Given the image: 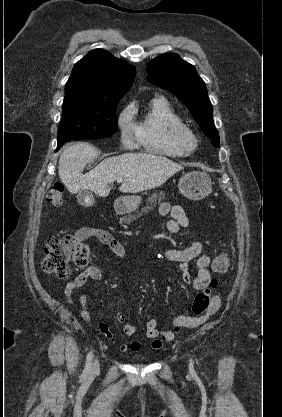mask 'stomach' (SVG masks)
Listing matches in <instances>:
<instances>
[{"label":"stomach","mask_w":282,"mask_h":417,"mask_svg":"<svg viewBox=\"0 0 282 417\" xmlns=\"http://www.w3.org/2000/svg\"><path fill=\"white\" fill-rule=\"evenodd\" d=\"M178 188L186 198L190 200H201L207 194H210L212 190V180L208 172L204 170H192V172H186L179 180ZM122 202L127 211H136L141 202V196L137 194H127L122 196Z\"/></svg>","instance_id":"0dacf381"}]
</instances>
